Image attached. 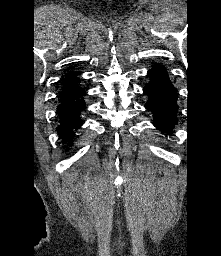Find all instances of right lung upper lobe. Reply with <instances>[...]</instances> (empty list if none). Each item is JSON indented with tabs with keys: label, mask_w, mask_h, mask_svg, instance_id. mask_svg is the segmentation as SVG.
<instances>
[{
	"label": "right lung upper lobe",
	"mask_w": 221,
	"mask_h": 256,
	"mask_svg": "<svg viewBox=\"0 0 221 256\" xmlns=\"http://www.w3.org/2000/svg\"><path fill=\"white\" fill-rule=\"evenodd\" d=\"M77 82L78 79L75 76L69 75L64 84L60 98H64L82 92L83 90L79 87Z\"/></svg>",
	"instance_id": "1"
}]
</instances>
